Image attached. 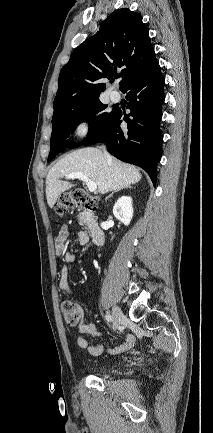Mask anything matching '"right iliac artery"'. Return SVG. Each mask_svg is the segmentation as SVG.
I'll return each instance as SVG.
<instances>
[{
  "instance_id": "obj_1",
  "label": "right iliac artery",
  "mask_w": 213,
  "mask_h": 433,
  "mask_svg": "<svg viewBox=\"0 0 213 433\" xmlns=\"http://www.w3.org/2000/svg\"><path fill=\"white\" fill-rule=\"evenodd\" d=\"M105 319H106L108 322H112V321H113V318H112V316H111L110 314H106Z\"/></svg>"
}]
</instances>
